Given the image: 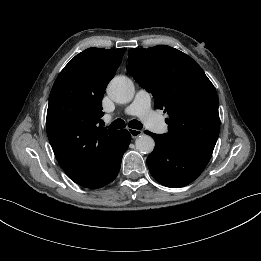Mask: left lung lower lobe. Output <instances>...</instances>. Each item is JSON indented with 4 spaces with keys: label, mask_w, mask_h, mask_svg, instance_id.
<instances>
[{
    "label": "left lung lower lobe",
    "mask_w": 261,
    "mask_h": 261,
    "mask_svg": "<svg viewBox=\"0 0 261 261\" xmlns=\"http://www.w3.org/2000/svg\"><path fill=\"white\" fill-rule=\"evenodd\" d=\"M146 133L155 140V148L147 158L149 171L164 186L178 188L191 183L212 156L213 149L184 146L164 134Z\"/></svg>",
    "instance_id": "obj_1"
}]
</instances>
